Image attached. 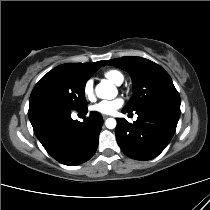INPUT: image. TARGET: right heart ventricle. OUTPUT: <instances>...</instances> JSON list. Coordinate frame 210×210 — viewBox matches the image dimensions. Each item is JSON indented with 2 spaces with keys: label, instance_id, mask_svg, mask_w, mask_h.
<instances>
[{
  "label": "right heart ventricle",
  "instance_id": "right-heart-ventricle-1",
  "mask_svg": "<svg viewBox=\"0 0 210 210\" xmlns=\"http://www.w3.org/2000/svg\"><path fill=\"white\" fill-rule=\"evenodd\" d=\"M103 76L115 84H120L124 80L123 74L115 69H108L104 71Z\"/></svg>",
  "mask_w": 210,
  "mask_h": 210
}]
</instances>
